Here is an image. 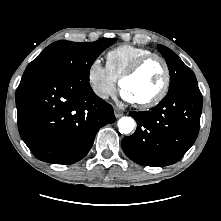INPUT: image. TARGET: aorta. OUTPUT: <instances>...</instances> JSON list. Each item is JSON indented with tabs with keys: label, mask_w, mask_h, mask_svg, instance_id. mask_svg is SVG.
<instances>
[{
	"label": "aorta",
	"mask_w": 221,
	"mask_h": 221,
	"mask_svg": "<svg viewBox=\"0 0 221 221\" xmlns=\"http://www.w3.org/2000/svg\"><path fill=\"white\" fill-rule=\"evenodd\" d=\"M135 127V121L132 117H122L118 121L119 132L129 134Z\"/></svg>",
	"instance_id": "obj_1"
}]
</instances>
